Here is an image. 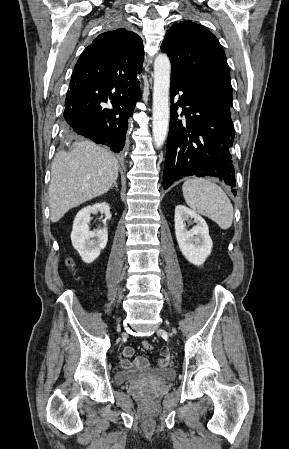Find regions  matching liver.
<instances>
[{"label":"liver","instance_id":"obj_1","mask_svg":"<svg viewBox=\"0 0 289 449\" xmlns=\"http://www.w3.org/2000/svg\"><path fill=\"white\" fill-rule=\"evenodd\" d=\"M118 161L91 141L76 142L59 152L51 167L50 219L58 222L70 209L106 193L118 178Z\"/></svg>","mask_w":289,"mask_h":449}]
</instances>
